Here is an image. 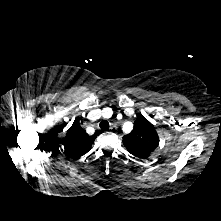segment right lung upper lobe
<instances>
[{
	"label": "right lung upper lobe",
	"mask_w": 221,
	"mask_h": 221,
	"mask_svg": "<svg viewBox=\"0 0 221 221\" xmlns=\"http://www.w3.org/2000/svg\"><path fill=\"white\" fill-rule=\"evenodd\" d=\"M95 138V135L89 136L79 123L74 121L66 133L64 153L69 157L79 158L90 150Z\"/></svg>",
	"instance_id": "obj_1"
}]
</instances>
